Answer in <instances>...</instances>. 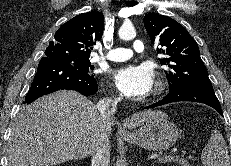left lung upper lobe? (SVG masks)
Listing matches in <instances>:
<instances>
[{
  "instance_id": "5c2ea615",
  "label": "left lung upper lobe",
  "mask_w": 231,
  "mask_h": 166,
  "mask_svg": "<svg viewBox=\"0 0 231 166\" xmlns=\"http://www.w3.org/2000/svg\"><path fill=\"white\" fill-rule=\"evenodd\" d=\"M143 21L151 42L163 47L157 51L164 54L159 60L169 69L165 72L170 90L189 83L211 85L198 45L181 24L154 13L146 14Z\"/></svg>"
}]
</instances>
